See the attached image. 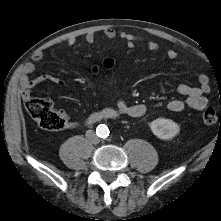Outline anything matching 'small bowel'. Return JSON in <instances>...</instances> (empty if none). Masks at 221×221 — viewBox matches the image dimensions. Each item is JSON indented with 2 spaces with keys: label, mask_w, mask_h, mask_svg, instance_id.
Instances as JSON below:
<instances>
[{
  "label": "small bowel",
  "mask_w": 221,
  "mask_h": 221,
  "mask_svg": "<svg viewBox=\"0 0 221 221\" xmlns=\"http://www.w3.org/2000/svg\"><path fill=\"white\" fill-rule=\"evenodd\" d=\"M103 35L110 40L115 39L118 34L113 28H105L103 30ZM120 37L126 42L129 48H133L137 42L142 41V38L130 34L121 33ZM84 40L88 44H93L96 41V34L93 32H88ZM75 38H69L67 41L68 46H73L75 44ZM146 47L149 51H158L160 46L155 41H148ZM167 58L175 60L178 57V53L173 49H168L166 51ZM43 58V54L38 52L34 55L33 62H28L23 66L22 76H21V94L24 99H27L31 95V91L36 86L44 83L51 82L58 86H64V81L51 74H41L35 78H31V74L35 71V62L40 61ZM198 86H192L186 83H180L177 86V92L184 96L183 99H173L168 103V109L172 112H180L185 108L189 107L191 109L201 111L208 105V99L205 94L209 91V78L206 74H199L198 76ZM117 109L120 113L133 117L139 118L143 116L147 111V106L145 104H128L123 99L118 100ZM62 116L68 118L67 114L63 111ZM69 126H75V123L70 121Z\"/></svg>",
  "instance_id": "c3829d8e"
}]
</instances>
